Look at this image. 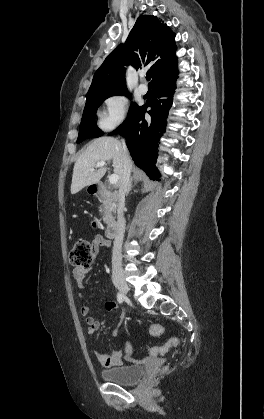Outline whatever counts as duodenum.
<instances>
[{"label": "duodenum", "mask_w": 264, "mask_h": 419, "mask_svg": "<svg viewBox=\"0 0 264 419\" xmlns=\"http://www.w3.org/2000/svg\"><path fill=\"white\" fill-rule=\"evenodd\" d=\"M93 195L99 200H112L116 198V195L112 192H109L103 184H96L93 186ZM118 232V223L115 218H111L108 221L105 235L109 239H113Z\"/></svg>", "instance_id": "1"}]
</instances>
